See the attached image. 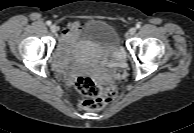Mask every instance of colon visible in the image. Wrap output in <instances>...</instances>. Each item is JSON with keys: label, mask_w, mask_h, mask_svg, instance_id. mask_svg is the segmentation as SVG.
Returning <instances> with one entry per match:
<instances>
[{"label": "colon", "mask_w": 194, "mask_h": 133, "mask_svg": "<svg viewBox=\"0 0 194 133\" xmlns=\"http://www.w3.org/2000/svg\"><path fill=\"white\" fill-rule=\"evenodd\" d=\"M76 91L85 96L80 106L88 111H97L104 108L116 97V89L112 86L102 87L89 76H79L75 80Z\"/></svg>", "instance_id": "obj_1"}]
</instances>
